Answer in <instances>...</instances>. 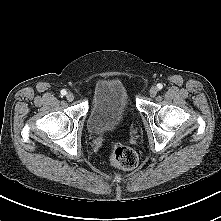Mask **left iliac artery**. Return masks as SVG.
I'll return each instance as SVG.
<instances>
[{"instance_id":"1","label":"left iliac artery","mask_w":221,"mask_h":221,"mask_svg":"<svg viewBox=\"0 0 221 221\" xmlns=\"http://www.w3.org/2000/svg\"><path fill=\"white\" fill-rule=\"evenodd\" d=\"M157 88L159 89V90H161L162 88H163V85L162 84H157Z\"/></svg>"}]
</instances>
